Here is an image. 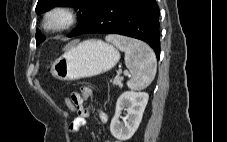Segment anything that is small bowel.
<instances>
[{
	"instance_id": "obj_1",
	"label": "small bowel",
	"mask_w": 227,
	"mask_h": 142,
	"mask_svg": "<svg viewBox=\"0 0 227 142\" xmlns=\"http://www.w3.org/2000/svg\"><path fill=\"white\" fill-rule=\"evenodd\" d=\"M93 94V90L90 87H83L80 92H73L71 99L77 108V117L70 124V132L76 134L83 126L86 125L87 119L90 116L89 109L85 106L84 102ZM98 118L100 122L107 123L109 120L108 114L98 110ZM105 142H120V141H105Z\"/></svg>"
}]
</instances>
